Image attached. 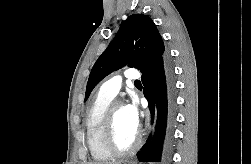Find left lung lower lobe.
I'll return each mask as SVG.
<instances>
[{
  "label": "left lung lower lobe",
  "mask_w": 251,
  "mask_h": 164,
  "mask_svg": "<svg viewBox=\"0 0 251 164\" xmlns=\"http://www.w3.org/2000/svg\"><path fill=\"white\" fill-rule=\"evenodd\" d=\"M142 83L152 117L156 105L157 123L153 137H149L137 158L140 162H160L162 151L170 146L175 118L174 79L167 56L142 75Z\"/></svg>",
  "instance_id": "left-lung-lower-lobe-1"
}]
</instances>
